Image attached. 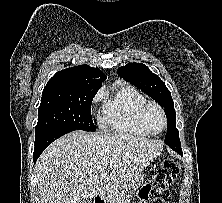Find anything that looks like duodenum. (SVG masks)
I'll list each match as a JSON object with an SVG mask.
<instances>
[{
	"label": "duodenum",
	"mask_w": 222,
	"mask_h": 203,
	"mask_svg": "<svg viewBox=\"0 0 222 203\" xmlns=\"http://www.w3.org/2000/svg\"><path fill=\"white\" fill-rule=\"evenodd\" d=\"M96 203H103V200L99 199Z\"/></svg>",
	"instance_id": "410a0bca"
}]
</instances>
